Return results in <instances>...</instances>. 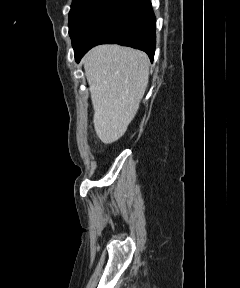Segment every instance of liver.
Instances as JSON below:
<instances>
[{"label":"liver","mask_w":240,"mask_h":288,"mask_svg":"<svg viewBox=\"0 0 240 288\" xmlns=\"http://www.w3.org/2000/svg\"><path fill=\"white\" fill-rule=\"evenodd\" d=\"M94 108V129L111 144L133 120L149 82L146 53L119 45H99L83 58Z\"/></svg>","instance_id":"6515ba94"}]
</instances>
